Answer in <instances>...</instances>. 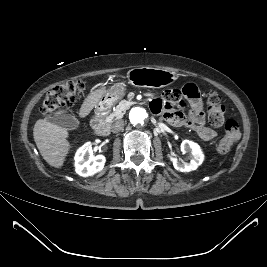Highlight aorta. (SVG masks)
I'll list each match as a JSON object with an SVG mask.
<instances>
[{"mask_svg":"<svg viewBox=\"0 0 267 267\" xmlns=\"http://www.w3.org/2000/svg\"><path fill=\"white\" fill-rule=\"evenodd\" d=\"M147 118L146 110L141 107H135L129 113V119L133 125H142L147 121Z\"/></svg>","mask_w":267,"mask_h":267,"instance_id":"1","label":"aorta"}]
</instances>
